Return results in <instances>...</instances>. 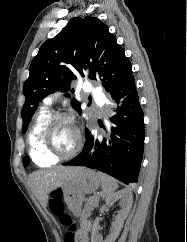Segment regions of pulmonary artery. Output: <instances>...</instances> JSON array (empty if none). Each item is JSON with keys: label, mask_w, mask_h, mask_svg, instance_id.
Returning a JSON list of instances; mask_svg holds the SVG:
<instances>
[{"label": "pulmonary artery", "mask_w": 187, "mask_h": 242, "mask_svg": "<svg viewBox=\"0 0 187 242\" xmlns=\"http://www.w3.org/2000/svg\"><path fill=\"white\" fill-rule=\"evenodd\" d=\"M91 92H92V95H93L94 97H97V96L99 95V93H100V91H99L98 88H92V89H91ZM52 100H53V96L46 98L45 102H46L47 104H51V103H52Z\"/></svg>", "instance_id": "obj_1"}]
</instances>
